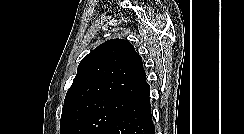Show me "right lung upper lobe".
Returning a JSON list of instances; mask_svg holds the SVG:
<instances>
[{"mask_svg": "<svg viewBox=\"0 0 244 134\" xmlns=\"http://www.w3.org/2000/svg\"><path fill=\"white\" fill-rule=\"evenodd\" d=\"M142 58L124 39H112L96 47L78 66L77 75L68 89L61 119L76 105L104 97L134 100L146 93Z\"/></svg>", "mask_w": 244, "mask_h": 134, "instance_id": "right-lung-upper-lobe-1", "label": "right lung upper lobe"}]
</instances>
